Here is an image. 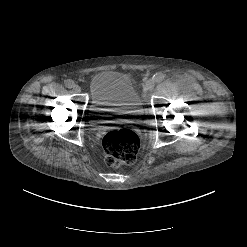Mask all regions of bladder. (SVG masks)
<instances>
[{"label": "bladder", "mask_w": 247, "mask_h": 247, "mask_svg": "<svg viewBox=\"0 0 247 247\" xmlns=\"http://www.w3.org/2000/svg\"><path fill=\"white\" fill-rule=\"evenodd\" d=\"M89 117L97 125L135 121L141 116V100L132 80L125 74L104 71L89 81Z\"/></svg>", "instance_id": "1"}]
</instances>
